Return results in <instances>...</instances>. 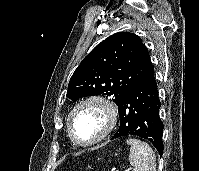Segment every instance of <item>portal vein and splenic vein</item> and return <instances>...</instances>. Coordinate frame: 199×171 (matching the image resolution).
Here are the masks:
<instances>
[{"instance_id": "obj_1", "label": "portal vein and splenic vein", "mask_w": 199, "mask_h": 171, "mask_svg": "<svg viewBox=\"0 0 199 171\" xmlns=\"http://www.w3.org/2000/svg\"><path fill=\"white\" fill-rule=\"evenodd\" d=\"M132 169V167H128L126 169H124V171H130Z\"/></svg>"}]
</instances>
